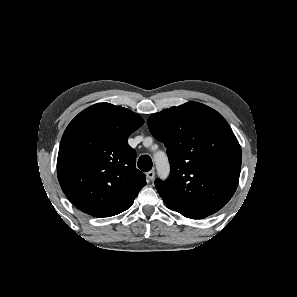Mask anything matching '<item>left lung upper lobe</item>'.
I'll return each instance as SVG.
<instances>
[{"label": "left lung upper lobe", "mask_w": 297, "mask_h": 297, "mask_svg": "<svg viewBox=\"0 0 297 297\" xmlns=\"http://www.w3.org/2000/svg\"><path fill=\"white\" fill-rule=\"evenodd\" d=\"M147 124L167 147L170 177L155 181L165 205L191 219L225 206L237 188L242 159L227 121L204 104L188 102L152 114Z\"/></svg>", "instance_id": "5c2ea615"}]
</instances>
